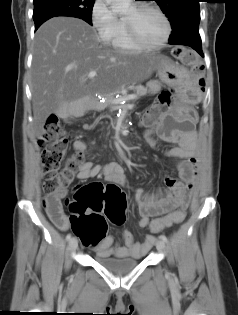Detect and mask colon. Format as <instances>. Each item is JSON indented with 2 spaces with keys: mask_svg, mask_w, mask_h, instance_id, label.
Returning a JSON list of instances; mask_svg holds the SVG:
<instances>
[{
  "mask_svg": "<svg viewBox=\"0 0 238 315\" xmlns=\"http://www.w3.org/2000/svg\"><path fill=\"white\" fill-rule=\"evenodd\" d=\"M173 56L184 65L191 68L198 85L205 87V69L198 54L185 47H176ZM174 97L172 91L162 92L157 101L143 117L145 126H152L167 112ZM39 145L41 153L42 188L46 196L65 189L72 181L75 173L83 164V151L75 152L64 161L68 140L64 127L55 115L47 118L41 134ZM64 162L63 168H61ZM71 212L70 224L73 232L83 245L95 246L106 235L107 221L114 225L125 222L127 199L122 189L114 184L91 182L75 188L73 198L68 203ZM182 211H174L162 218H156L150 223V231L158 233L163 229L183 220Z\"/></svg>",
  "mask_w": 238,
  "mask_h": 315,
  "instance_id": "1",
  "label": "colon"
}]
</instances>
